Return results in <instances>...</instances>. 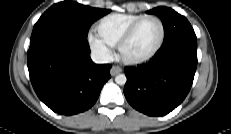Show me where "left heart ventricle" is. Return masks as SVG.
I'll use <instances>...</instances> for the list:
<instances>
[{
  "instance_id": "left-heart-ventricle-1",
  "label": "left heart ventricle",
  "mask_w": 231,
  "mask_h": 134,
  "mask_svg": "<svg viewBox=\"0 0 231 134\" xmlns=\"http://www.w3.org/2000/svg\"><path fill=\"white\" fill-rule=\"evenodd\" d=\"M160 35V25L156 20L144 21L124 47V56L127 58H140L148 55L157 46Z\"/></svg>"
}]
</instances>
